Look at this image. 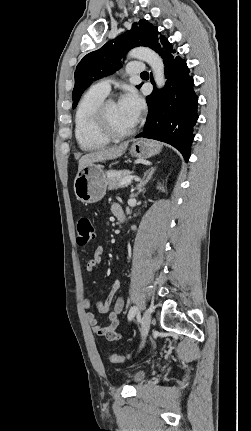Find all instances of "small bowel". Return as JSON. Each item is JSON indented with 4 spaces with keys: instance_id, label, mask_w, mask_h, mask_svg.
<instances>
[{
    "instance_id": "obj_1",
    "label": "small bowel",
    "mask_w": 251,
    "mask_h": 431,
    "mask_svg": "<svg viewBox=\"0 0 251 431\" xmlns=\"http://www.w3.org/2000/svg\"><path fill=\"white\" fill-rule=\"evenodd\" d=\"M123 211L122 207L118 204L113 205L112 212L116 214ZM103 248L101 246L97 247L94 251V257L90 259L86 264V272L91 273L98 269L102 262ZM120 286L118 280L114 281L111 291L104 301L91 300L89 298H84L82 300V306L86 310L85 318L90 325L92 332L102 338L109 341L118 340L121 335L117 332V328L120 325L119 316L124 308V299L122 297L115 298V294ZM93 305H95L97 311L100 314H107L109 324L102 326L98 323L95 313L91 310Z\"/></svg>"
}]
</instances>
